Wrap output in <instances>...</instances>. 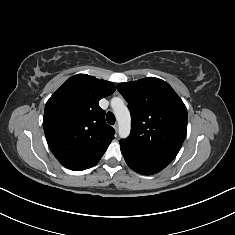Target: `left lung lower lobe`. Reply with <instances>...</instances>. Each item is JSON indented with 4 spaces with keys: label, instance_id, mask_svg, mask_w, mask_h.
<instances>
[{
    "label": "left lung lower lobe",
    "instance_id": "0a47b994",
    "mask_svg": "<svg viewBox=\"0 0 235 235\" xmlns=\"http://www.w3.org/2000/svg\"><path fill=\"white\" fill-rule=\"evenodd\" d=\"M121 145V152L127 165L137 173L152 175L160 172L168 164L148 158L140 153L132 152L127 147Z\"/></svg>",
    "mask_w": 235,
    "mask_h": 235
}]
</instances>
